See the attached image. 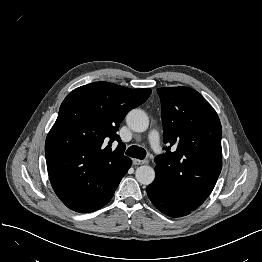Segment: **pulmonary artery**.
<instances>
[{"label":"pulmonary artery","instance_id":"obj_1","mask_svg":"<svg viewBox=\"0 0 262 262\" xmlns=\"http://www.w3.org/2000/svg\"><path fill=\"white\" fill-rule=\"evenodd\" d=\"M149 143L155 151H159L161 148L159 134L156 131H151L149 134Z\"/></svg>","mask_w":262,"mask_h":262}]
</instances>
